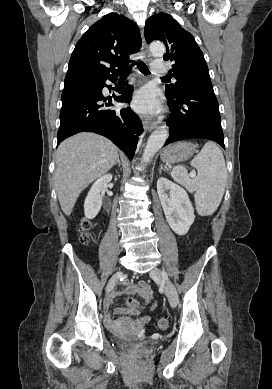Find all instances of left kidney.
<instances>
[{"mask_svg": "<svg viewBox=\"0 0 272 389\" xmlns=\"http://www.w3.org/2000/svg\"><path fill=\"white\" fill-rule=\"evenodd\" d=\"M170 191V196L166 191ZM157 192L171 229L178 235H185L194 222V208L187 192L179 185L160 177Z\"/></svg>", "mask_w": 272, "mask_h": 389, "instance_id": "1", "label": "left kidney"}]
</instances>
